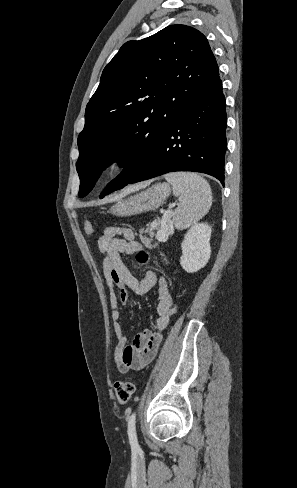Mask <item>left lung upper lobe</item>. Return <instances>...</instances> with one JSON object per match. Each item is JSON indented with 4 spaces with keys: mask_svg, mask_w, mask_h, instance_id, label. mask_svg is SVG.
<instances>
[{
    "mask_svg": "<svg viewBox=\"0 0 297 488\" xmlns=\"http://www.w3.org/2000/svg\"><path fill=\"white\" fill-rule=\"evenodd\" d=\"M206 37L185 25L122 45L104 68L78 137L79 196H86L116 156L122 173L100 198L123 188L150 159L184 112L219 81Z\"/></svg>",
    "mask_w": 297,
    "mask_h": 488,
    "instance_id": "1",
    "label": "left lung upper lobe"
}]
</instances>
